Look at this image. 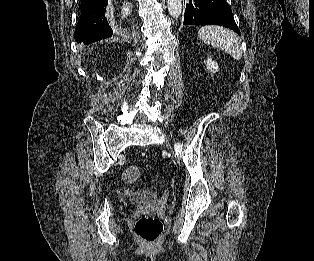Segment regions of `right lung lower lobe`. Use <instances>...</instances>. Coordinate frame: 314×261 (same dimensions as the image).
Segmentation results:
<instances>
[{"mask_svg":"<svg viewBox=\"0 0 314 261\" xmlns=\"http://www.w3.org/2000/svg\"><path fill=\"white\" fill-rule=\"evenodd\" d=\"M108 0H81V15L75 28V40L90 44L113 34L105 16Z\"/></svg>","mask_w":314,"mask_h":261,"instance_id":"obj_1","label":"right lung lower lobe"}]
</instances>
